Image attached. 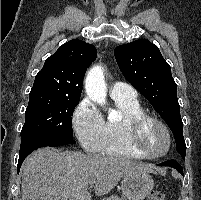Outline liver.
<instances>
[{
  "label": "liver",
  "instance_id": "6515ba94",
  "mask_svg": "<svg viewBox=\"0 0 201 200\" xmlns=\"http://www.w3.org/2000/svg\"><path fill=\"white\" fill-rule=\"evenodd\" d=\"M153 172L150 165L122 157L61 151L49 147L34 151L22 166V200H91L109 193L122 177Z\"/></svg>",
  "mask_w": 201,
  "mask_h": 200
}]
</instances>
